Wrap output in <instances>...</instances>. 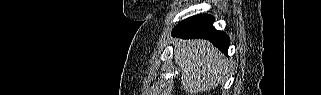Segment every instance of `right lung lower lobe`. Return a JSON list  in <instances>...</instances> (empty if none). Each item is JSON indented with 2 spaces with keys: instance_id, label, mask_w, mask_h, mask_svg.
Instances as JSON below:
<instances>
[{
  "instance_id": "obj_1",
  "label": "right lung lower lobe",
  "mask_w": 321,
  "mask_h": 95,
  "mask_svg": "<svg viewBox=\"0 0 321 95\" xmlns=\"http://www.w3.org/2000/svg\"><path fill=\"white\" fill-rule=\"evenodd\" d=\"M214 17L207 14H201L190 17L179 23L172 32L173 35L184 39L189 38H203L208 39L214 46L219 48L222 52H228L230 39L227 34L217 31L212 23Z\"/></svg>"
}]
</instances>
